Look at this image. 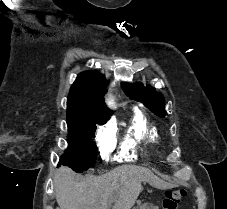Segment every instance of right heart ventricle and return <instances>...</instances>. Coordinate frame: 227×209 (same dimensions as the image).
Wrapping results in <instances>:
<instances>
[{
	"label": "right heart ventricle",
	"mask_w": 227,
	"mask_h": 209,
	"mask_svg": "<svg viewBox=\"0 0 227 209\" xmlns=\"http://www.w3.org/2000/svg\"><path fill=\"white\" fill-rule=\"evenodd\" d=\"M161 143L162 134L159 127L150 122L142 112L134 111L114 159L117 162L135 161L139 157L140 146Z\"/></svg>",
	"instance_id": "e07e8e85"
}]
</instances>
